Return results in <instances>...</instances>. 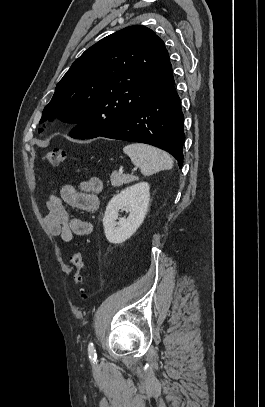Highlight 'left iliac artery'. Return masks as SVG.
<instances>
[{"instance_id": "44dca946", "label": "left iliac artery", "mask_w": 265, "mask_h": 407, "mask_svg": "<svg viewBox=\"0 0 265 407\" xmlns=\"http://www.w3.org/2000/svg\"><path fill=\"white\" fill-rule=\"evenodd\" d=\"M88 354H89L90 360L96 361L97 355H96L95 349L93 347V343H90L88 346Z\"/></svg>"}]
</instances>
